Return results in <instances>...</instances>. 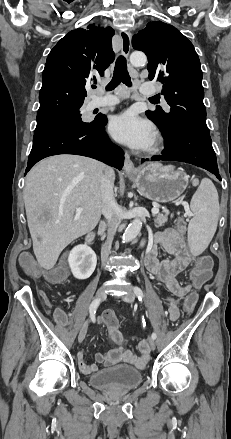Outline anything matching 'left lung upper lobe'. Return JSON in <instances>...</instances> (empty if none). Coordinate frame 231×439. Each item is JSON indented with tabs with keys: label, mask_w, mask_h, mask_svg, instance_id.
Wrapping results in <instances>:
<instances>
[{
	"label": "left lung upper lobe",
	"mask_w": 231,
	"mask_h": 439,
	"mask_svg": "<svg viewBox=\"0 0 231 439\" xmlns=\"http://www.w3.org/2000/svg\"><path fill=\"white\" fill-rule=\"evenodd\" d=\"M132 45L147 55L149 79L163 84L161 94L171 107L170 113L148 110V118L163 135L179 127L209 134L202 71L193 44L174 26L155 21L133 36Z\"/></svg>",
	"instance_id": "1"
}]
</instances>
